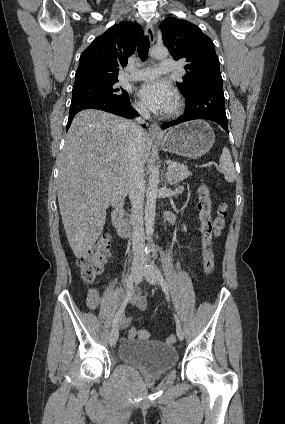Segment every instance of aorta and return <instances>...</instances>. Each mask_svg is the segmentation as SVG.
<instances>
[{"instance_id":"aorta-1","label":"aorta","mask_w":285,"mask_h":424,"mask_svg":"<svg viewBox=\"0 0 285 424\" xmlns=\"http://www.w3.org/2000/svg\"><path fill=\"white\" fill-rule=\"evenodd\" d=\"M168 49L164 46H155L150 50V56L155 59H163L168 56ZM159 171L158 168L153 167L151 169L149 180H148V189H147V201L145 205V231L147 239L151 240V236L154 232V222H155V209H156V197L158 192L159 185Z\"/></svg>"}]
</instances>
